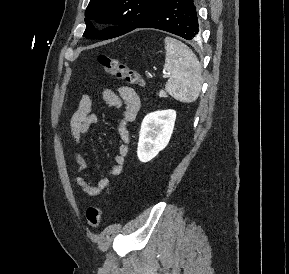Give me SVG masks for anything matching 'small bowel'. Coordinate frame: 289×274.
I'll return each mask as SVG.
<instances>
[{
  "mask_svg": "<svg viewBox=\"0 0 289 274\" xmlns=\"http://www.w3.org/2000/svg\"><path fill=\"white\" fill-rule=\"evenodd\" d=\"M103 100L115 109L123 112V118L118 125V135L121 143L118 151L114 155V164L108 169V174L119 176L124 171L125 158L128 154V143L130 140V132L128 125L137 117L141 100L137 92L129 86H120L117 92L109 88L102 90ZM92 100L89 94H83L79 100L76 111L70 119V130L76 144L82 146L86 142V136L90 128L98 125L99 118L96 114L91 113ZM77 164L74 180L79 190L88 196V202H92L93 198L101 195L110 187L111 181L108 178H102L95 184H92L83 175L88 167V162L84 154L77 152L74 155Z\"/></svg>",
  "mask_w": 289,
  "mask_h": 274,
  "instance_id": "1",
  "label": "small bowel"
}]
</instances>
